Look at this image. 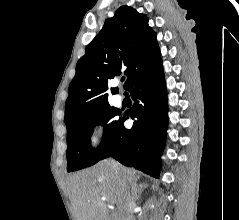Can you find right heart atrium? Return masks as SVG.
Instances as JSON below:
<instances>
[{"label": "right heart atrium", "mask_w": 239, "mask_h": 220, "mask_svg": "<svg viewBox=\"0 0 239 220\" xmlns=\"http://www.w3.org/2000/svg\"><path fill=\"white\" fill-rule=\"evenodd\" d=\"M102 132V127L99 123L95 124L90 132V142L91 144H96Z\"/></svg>", "instance_id": "obj_1"}]
</instances>
